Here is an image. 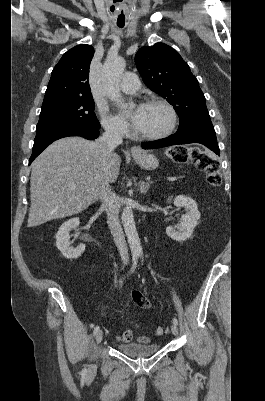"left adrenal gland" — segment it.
I'll return each mask as SVG.
<instances>
[{
	"label": "left adrenal gland",
	"mask_w": 265,
	"mask_h": 401,
	"mask_svg": "<svg viewBox=\"0 0 265 401\" xmlns=\"http://www.w3.org/2000/svg\"><path fill=\"white\" fill-rule=\"evenodd\" d=\"M150 184L151 182H145V180H142V182H138L140 192H144V194H146L147 190H149Z\"/></svg>",
	"instance_id": "left-adrenal-gland-1"
}]
</instances>
